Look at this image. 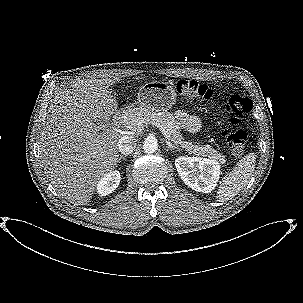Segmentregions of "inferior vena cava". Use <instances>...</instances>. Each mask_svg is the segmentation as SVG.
I'll return each instance as SVG.
<instances>
[{
	"instance_id": "inferior-vena-cava-1",
	"label": "inferior vena cava",
	"mask_w": 303,
	"mask_h": 303,
	"mask_svg": "<svg viewBox=\"0 0 303 303\" xmlns=\"http://www.w3.org/2000/svg\"><path fill=\"white\" fill-rule=\"evenodd\" d=\"M118 150L122 154H130L135 149V139L130 135H124L118 140Z\"/></svg>"
}]
</instances>
